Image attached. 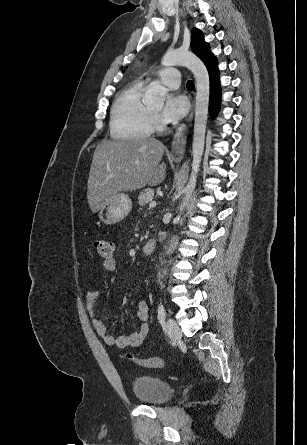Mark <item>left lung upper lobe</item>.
<instances>
[{
    "label": "left lung upper lobe",
    "mask_w": 307,
    "mask_h": 445,
    "mask_svg": "<svg viewBox=\"0 0 307 445\" xmlns=\"http://www.w3.org/2000/svg\"><path fill=\"white\" fill-rule=\"evenodd\" d=\"M191 48L205 65L216 59L210 52L209 45L204 41L203 33L196 28L192 31Z\"/></svg>",
    "instance_id": "left-lung-upper-lobe-1"
}]
</instances>
